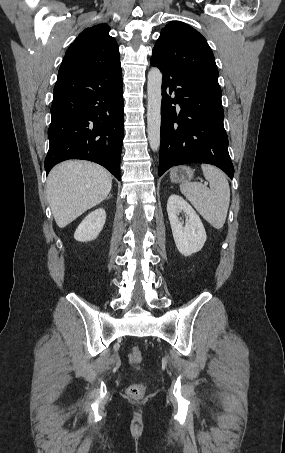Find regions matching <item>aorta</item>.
<instances>
[{
  "instance_id": "aorta-1",
  "label": "aorta",
  "mask_w": 285,
  "mask_h": 453,
  "mask_svg": "<svg viewBox=\"0 0 285 453\" xmlns=\"http://www.w3.org/2000/svg\"><path fill=\"white\" fill-rule=\"evenodd\" d=\"M162 73L152 67L148 73L147 94V133L150 147L157 151L160 146Z\"/></svg>"
}]
</instances>
